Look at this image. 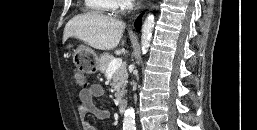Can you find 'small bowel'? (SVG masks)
I'll return each mask as SVG.
<instances>
[{"instance_id": "obj_1", "label": "small bowel", "mask_w": 257, "mask_h": 130, "mask_svg": "<svg viewBox=\"0 0 257 130\" xmlns=\"http://www.w3.org/2000/svg\"><path fill=\"white\" fill-rule=\"evenodd\" d=\"M105 95V90L99 84H93L87 88H83L79 92V114L82 117L83 130H98L96 126L85 119L88 114L93 115L98 120H105L109 117L107 110L97 107L94 98Z\"/></svg>"}]
</instances>
